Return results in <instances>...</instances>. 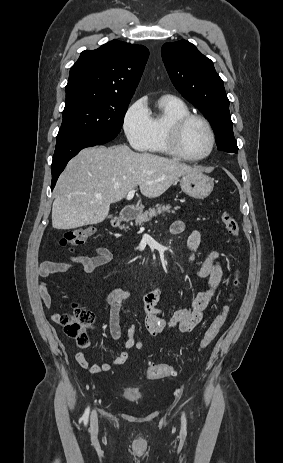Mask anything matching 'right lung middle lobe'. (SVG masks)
<instances>
[{
	"mask_svg": "<svg viewBox=\"0 0 283 463\" xmlns=\"http://www.w3.org/2000/svg\"><path fill=\"white\" fill-rule=\"evenodd\" d=\"M131 98L79 91L66 96L56 142L84 135L117 136Z\"/></svg>",
	"mask_w": 283,
	"mask_h": 463,
	"instance_id": "obj_1",
	"label": "right lung middle lobe"
}]
</instances>
